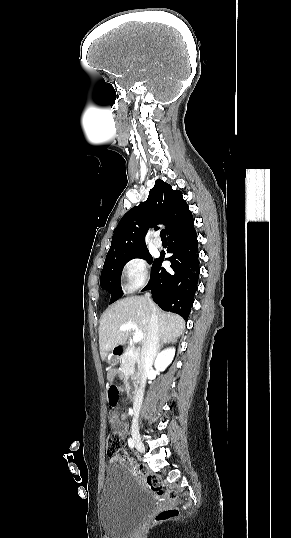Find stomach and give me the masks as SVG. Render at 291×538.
Returning <instances> with one entry per match:
<instances>
[{
    "instance_id": "1",
    "label": "stomach",
    "mask_w": 291,
    "mask_h": 538,
    "mask_svg": "<svg viewBox=\"0 0 291 538\" xmlns=\"http://www.w3.org/2000/svg\"><path fill=\"white\" fill-rule=\"evenodd\" d=\"M116 360H118V356L114 355L113 350H112L106 356V361L109 362V363H112V362H115Z\"/></svg>"
}]
</instances>
